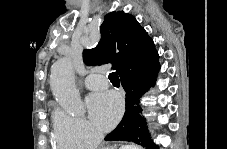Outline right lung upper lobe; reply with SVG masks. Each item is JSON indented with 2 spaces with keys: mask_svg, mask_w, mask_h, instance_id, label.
Wrapping results in <instances>:
<instances>
[{
  "mask_svg": "<svg viewBox=\"0 0 227 149\" xmlns=\"http://www.w3.org/2000/svg\"><path fill=\"white\" fill-rule=\"evenodd\" d=\"M100 32L98 45L84 50V61L89 66L112 63L121 76L159 57L144 28L132 15L123 11L108 13Z\"/></svg>",
  "mask_w": 227,
  "mask_h": 149,
  "instance_id": "obj_1",
  "label": "right lung upper lobe"
}]
</instances>
